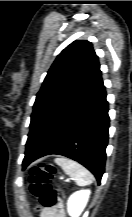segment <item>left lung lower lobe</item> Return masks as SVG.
<instances>
[{
	"label": "left lung lower lobe",
	"mask_w": 132,
	"mask_h": 217,
	"mask_svg": "<svg viewBox=\"0 0 132 217\" xmlns=\"http://www.w3.org/2000/svg\"><path fill=\"white\" fill-rule=\"evenodd\" d=\"M108 128V102L100 71L58 116L39 143L25 154L23 169L40 157L58 154L81 163L100 184L106 160Z\"/></svg>",
	"instance_id": "obj_1"
}]
</instances>
